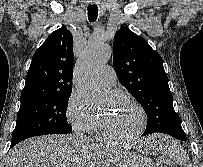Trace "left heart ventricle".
Masks as SVG:
<instances>
[{
  "label": "left heart ventricle",
  "instance_id": "1",
  "mask_svg": "<svg viewBox=\"0 0 203 167\" xmlns=\"http://www.w3.org/2000/svg\"><path fill=\"white\" fill-rule=\"evenodd\" d=\"M106 128L116 136L132 134L139 125V114L122 99H116L112 108L100 115Z\"/></svg>",
  "mask_w": 203,
  "mask_h": 167
}]
</instances>
